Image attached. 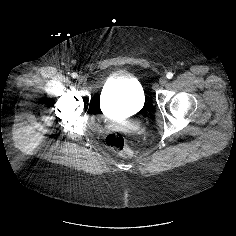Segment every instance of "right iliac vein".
<instances>
[{
	"label": "right iliac vein",
	"instance_id": "right-iliac-vein-1",
	"mask_svg": "<svg viewBox=\"0 0 236 236\" xmlns=\"http://www.w3.org/2000/svg\"><path fill=\"white\" fill-rule=\"evenodd\" d=\"M78 82L84 85V84H86V79L83 76H79Z\"/></svg>",
	"mask_w": 236,
	"mask_h": 236
}]
</instances>
